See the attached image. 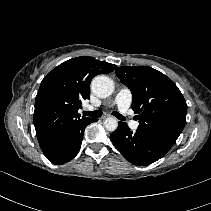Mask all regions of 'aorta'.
<instances>
[{
    "label": "aorta",
    "mask_w": 211,
    "mask_h": 211,
    "mask_svg": "<svg viewBox=\"0 0 211 211\" xmlns=\"http://www.w3.org/2000/svg\"><path fill=\"white\" fill-rule=\"evenodd\" d=\"M93 93L100 98H106L110 96L114 91L113 81L104 75L96 76L91 84ZM104 126L108 131H115L118 127V122L115 118L109 117L104 121Z\"/></svg>",
    "instance_id": "762f6f07"
}]
</instances>
